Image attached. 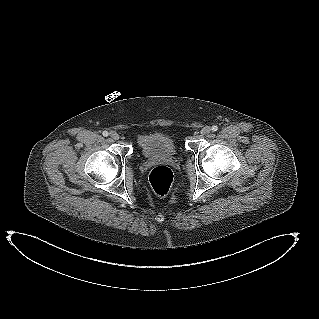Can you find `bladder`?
<instances>
[{
    "mask_svg": "<svg viewBox=\"0 0 319 319\" xmlns=\"http://www.w3.org/2000/svg\"><path fill=\"white\" fill-rule=\"evenodd\" d=\"M137 146L140 154L147 159L176 158L178 156V148L174 138L163 132L139 136Z\"/></svg>",
    "mask_w": 319,
    "mask_h": 319,
    "instance_id": "31cf9c89",
    "label": "bladder"
}]
</instances>
